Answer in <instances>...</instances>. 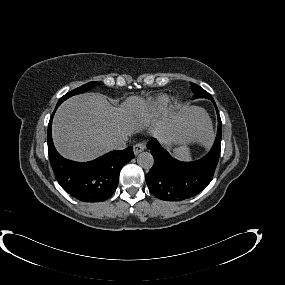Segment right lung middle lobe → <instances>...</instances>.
Instances as JSON below:
<instances>
[{"label":"right lung middle lobe","mask_w":285,"mask_h":285,"mask_svg":"<svg viewBox=\"0 0 285 285\" xmlns=\"http://www.w3.org/2000/svg\"><path fill=\"white\" fill-rule=\"evenodd\" d=\"M98 84H99L98 82H89L87 84H84L83 86L78 87V88L74 89L73 91L68 92L67 94H65L63 97L60 98L58 103H62L64 100L68 99L69 97H71L73 95L84 93V92L92 89L93 87H95Z\"/></svg>","instance_id":"obj_1"}]
</instances>
